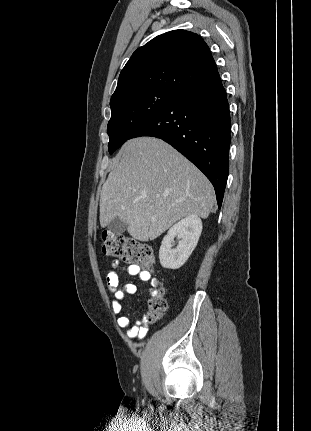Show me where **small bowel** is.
<instances>
[{
	"label": "small bowel",
	"instance_id": "c3829d8e",
	"mask_svg": "<svg viewBox=\"0 0 311 431\" xmlns=\"http://www.w3.org/2000/svg\"><path fill=\"white\" fill-rule=\"evenodd\" d=\"M113 267L118 268L119 262L114 261ZM124 271L131 276H137L142 282H149L151 280V274L147 270H143L138 265H129L124 268ZM120 277L117 271H110L106 276V282L109 289L114 293V300L112 302V309L115 314H119L122 311V301L126 295H133L137 291V287L133 283H126L122 287H119ZM157 293L154 288L149 289V295L152 297ZM118 325L122 328H128L127 336L130 338L142 339L147 333L146 320L144 317H138L133 323L127 316H120L118 318Z\"/></svg>",
	"mask_w": 311,
	"mask_h": 431
}]
</instances>
